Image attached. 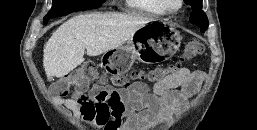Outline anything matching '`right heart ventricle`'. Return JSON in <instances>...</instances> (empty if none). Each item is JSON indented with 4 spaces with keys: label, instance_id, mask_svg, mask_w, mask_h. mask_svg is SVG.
<instances>
[{
    "label": "right heart ventricle",
    "instance_id": "right-heart-ventricle-1",
    "mask_svg": "<svg viewBox=\"0 0 257 130\" xmlns=\"http://www.w3.org/2000/svg\"><path fill=\"white\" fill-rule=\"evenodd\" d=\"M128 8L137 14L163 16L167 14L160 0H125Z\"/></svg>",
    "mask_w": 257,
    "mask_h": 130
}]
</instances>
